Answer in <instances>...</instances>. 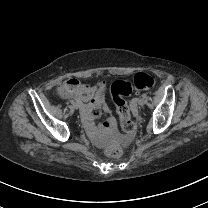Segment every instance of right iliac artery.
Listing matches in <instances>:
<instances>
[{
    "mask_svg": "<svg viewBox=\"0 0 208 208\" xmlns=\"http://www.w3.org/2000/svg\"><path fill=\"white\" fill-rule=\"evenodd\" d=\"M70 103H71L72 105H74V104H75V101H74V100H70Z\"/></svg>",
    "mask_w": 208,
    "mask_h": 208,
    "instance_id": "82829eb1",
    "label": "right iliac artery"
}]
</instances>
